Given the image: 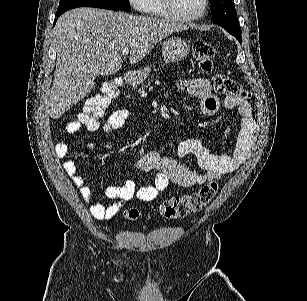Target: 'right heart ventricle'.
Here are the masks:
<instances>
[{
  "instance_id": "e07e8e85",
  "label": "right heart ventricle",
  "mask_w": 307,
  "mask_h": 301,
  "mask_svg": "<svg viewBox=\"0 0 307 301\" xmlns=\"http://www.w3.org/2000/svg\"><path fill=\"white\" fill-rule=\"evenodd\" d=\"M145 1H146V8H164V1L162 0H145ZM159 15L163 16L164 12L160 11Z\"/></svg>"
}]
</instances>
